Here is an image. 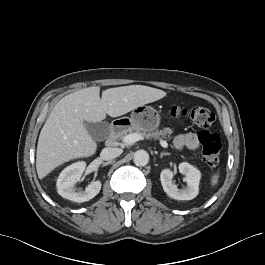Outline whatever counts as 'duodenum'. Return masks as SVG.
<instances>
[{
    "label": "duodenum",
    "instance_id": "410a0bca",
    "mask_svg": "<svg viewBox=\"0 0 265 265\" xmlns=\"http://www.w3.org/2000/svg\"><path fill=\"white\" fill-rule=\"evenodd\" d=\"M128 126V123L125 121H115L110 127V134L106 141V144L111 146L114 141L121 135L124 129Z\"/></svg>",
    "mask_w": 265,
    "mask_h": 265
}]
</instances>
